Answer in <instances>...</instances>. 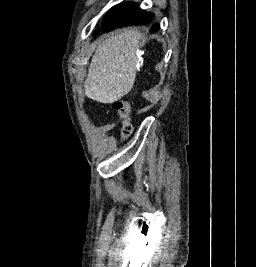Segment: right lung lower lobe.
I'll list each match as a JSON object with an SVG mask.
<instances>
[{"instance_id": "98d812e1", "label": "right lung lower lobe", "mask_w": 256, "mask_h": 267, "mask_svg": "<svg viewBox=\"0 0 256 267\" xmlns=\"http://www.w3.org/2000/svg\"><path fill=\"white\" fill-rule=\"evenodd\" d=\"M154 15L151 13H146L138 7L133 11V13L124 18L121 22L117 24L116 28L124 27V26H132V25H146L150 24L153 21ZM159 30V24L154 23L150 27V32L154 33Z\"/></svg>"}]
</instances>
